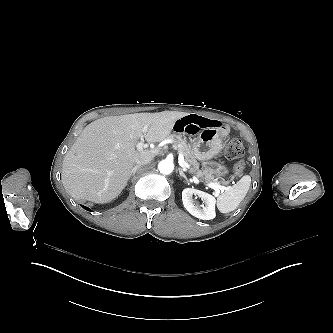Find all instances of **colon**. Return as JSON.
Returning a JSON list of instances; mask_svg holds the SVG:
<instances>
[{
	"instance_id": "1",
	"label": "colon",
	"mask_w": 333,
	"mask_h": 333,
	"mask_svg": "<svg viewBox=\"0 0 333 333\" xmlns=\"http://www.w3.org/2000/svg\"><path fill=\"white\" fill-rule=\"evenodd\" d=\"M243 153H244V150H243L242 143L238 139L231 140L225 148L224 157L227 160H238L235 165L236 172H241V170L244 167V162L242 160H240Z\"/></svg>"
}]
</instances>
